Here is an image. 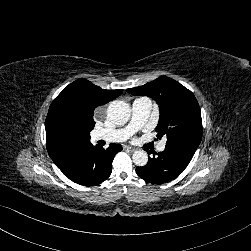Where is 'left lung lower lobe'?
Wrapping results in <instances>:
<instances>
[{"label":"left lung lower lobe","mask_w":251,"mask_h":251,"mask_svg":"<svg viewBox=\"0 0 251 251\" xmlns=\"http://www.w3.org/2000/svg\"><path fill=\"white\" fill-rule=\"evenodd\" d=\"M196 148L183 144L166 145L164 151L149 157L145 166L137 167L136 173L148 183L163 184L177 178L190 163ZM147 153L150 152L147 150Z\"/></svg>","instance_id":"1"}]
</instances>
